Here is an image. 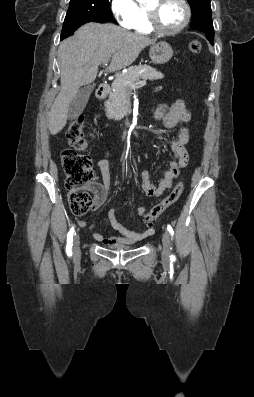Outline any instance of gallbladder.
I'll use <instances>...</instances> for the list:
<instances>
[{
	"mask_svg": "<svg viewBox=\"0 0 254 397\" xmlns=\"http://www.w3.org/2000/svg\"><path fill=\"white\" fill-rule=\"evenodd\" d=\"M93 89L94 85H87L78 90L69 106L68 118L70 120L77 118L83 112Z\"/></svg>",
	"mask_w": 254,
	"mask_h": 397,
	"instance_id": "1",
	"label": "gallbladder"
}]
</instances>
